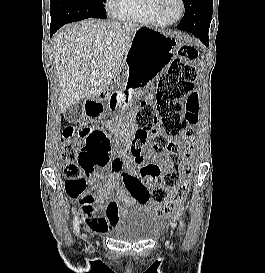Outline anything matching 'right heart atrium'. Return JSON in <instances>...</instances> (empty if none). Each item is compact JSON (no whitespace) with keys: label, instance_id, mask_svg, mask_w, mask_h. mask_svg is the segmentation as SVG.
<instances>
[{"label":"right heart atrium","instance_id":"d8ad5b80","mask_svg":"<svg viewBox=\"0 0 265 273\" xmlns=\"http://www.w3.org/2000/svg\"><path fill=\"white\" fill-rule=\"evenodd\" d=\"M121 4V0H106L105 7L109 13L116 14Z\"/></svg>","mask_w":265,"mask_h":273}]
</instances>
